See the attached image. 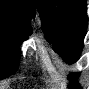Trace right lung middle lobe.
Listing matches in <instances>:
<instances>
[{"label": "right lung middle lobe", "instance_id": "dd1d6c3e", "mask_svg": "<svg viewBox=\"0 0 89 89\" xmlns=\"http://www.w3.org/2000/svg\"><path fill=\"white\" fill-rule=\"evenodd\" d=\"M24 24L0 20V78H5L18 68L19 45L30 35Z\"/></svg>", "mask_w": 89, "mask_h": 89}]
</instances>
